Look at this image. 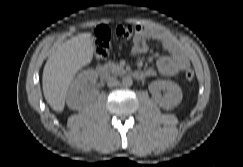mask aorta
Masks as SVG:
<instances>
[{"mask_svg":"<svg viewBox=\"0 0 243 167\" xmlns=\"http://www.w3.org/2000/svg\"><path fill=\"white\" fill-rule=\"evenodd\" d=\"M133 84V80L130 76H126L122 79V85L124 87H130Z\"/></svg>","mask_w":243,"mask_h":167,"instance_id":"762f6f07","label":"aorta"}]
</instances>
